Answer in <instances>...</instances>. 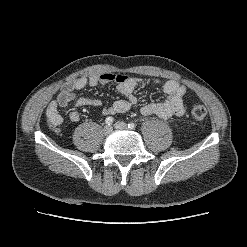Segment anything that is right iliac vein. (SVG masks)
<instances>
[{
	"mask_svg": "<svg viewBox=\"0 0 247 247\" xmlns=\"http://www.w3.org/2000/svg\"><path fill=\"white\" fill-rule=\"evenodd\" d=\"M103 132L108 135L112 132V127L110 125H106L104 128H103Z\"/></svg>",
	"mask_w": 247,
	"mask_h": 247,
	"instance_id": "1",
	"label": "right iliac vein"
}]
</instances>
